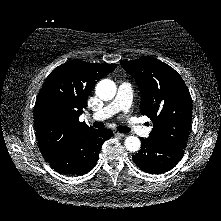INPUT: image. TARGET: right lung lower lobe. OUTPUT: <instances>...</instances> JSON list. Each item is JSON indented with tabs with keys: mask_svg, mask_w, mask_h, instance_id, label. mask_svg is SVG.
<instances>
[{
	"mask_svg": "<svg viewBox=\"0 0 221 221\" xmlns=\"http://www.w3.org/2000/svg\"><path fill=\"white\" fill-rule=\"evenodd\" d=\"M112 135L110 129L87 131L48 163L62 174L77 176L86 174L96 165L102 144Z\"/></svg>",
	"mask_w": 221,
	"mask_h": 221,
	"instance_id": "obj_1",
	"label": "right lung lower lobe"
}]
</instances>
